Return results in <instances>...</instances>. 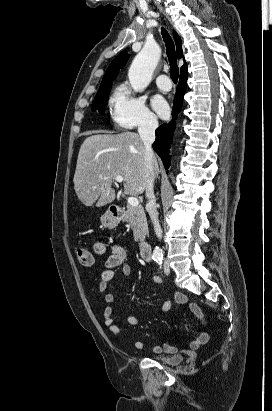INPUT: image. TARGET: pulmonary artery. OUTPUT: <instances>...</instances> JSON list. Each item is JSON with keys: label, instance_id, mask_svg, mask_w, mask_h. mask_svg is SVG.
<instances>
[{"label": "pulmonary artery", "instance_id": "pulmonary-artery-1", "mask_svg": "<svg viewBox=\"0 0 272 411\" xmlns=\"http://www.w3.org/2000/svg\"><path fill=\"white\" fill-rule=\"evenodd\" d=\"M156 84L161 91L167 92L171 89L169 77L165 74L157 77Z\"/></svg>", "mask_w": 272, "mask_h": 411}]
</instances>
